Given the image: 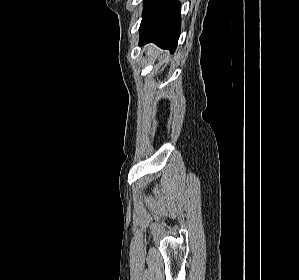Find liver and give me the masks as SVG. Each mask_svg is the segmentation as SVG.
Masks as SVG:
<instances>
[{"label":"liver","mask_w":299,"mask_h":280,"mask_svg":"<svg viewBox=\"0 0 299 280\" xmlns=\"http://www.w3.org/2000/svg\"><path fill=\"white\" fill-rule=\"evenodd\" d=\"M148 53H152L154 50H155V47L154 46H148Z\"/></svg>","instance_id":"obj_1"}]
</instances>
